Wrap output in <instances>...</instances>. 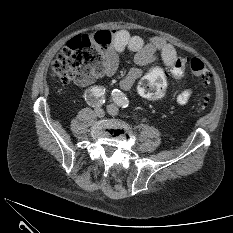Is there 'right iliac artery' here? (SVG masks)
Returning a JSON list of instances; mask_svg holds the SVG:
<instances>
[{"mask_svg": "<svg viewBox=\"0 0 233 233\" xmlns=\"http://www.w3.org/2000/svg\"><path fill=\"white\" fill-rule=\"evenodd\" d=\"M105 90L103 87H93L86 93L85 99L93 107H100L105 102Z\"/></svg>", "mask_w": 233, "mask_h": 233, "instance_id": "1", "label": "right iliac artery"}]
</instances>
